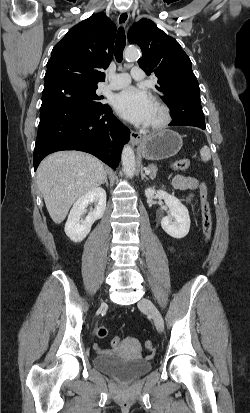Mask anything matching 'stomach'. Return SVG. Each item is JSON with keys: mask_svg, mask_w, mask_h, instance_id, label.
Instances as JSON below:
<instances>
[{"mask_svg": "<svg viewBox=\"0 0 250 413\" xmlns=\"http://www.w3.org/2000/svg\"><path fill=\"white\" fill-rule=\"evenodd\" d=\"M182 145V137L177 132L163 130L143 137L138 145V152L147 160L157 161L175 156Z\"/></svg>", "mask_w": 250, "mask_h": 413, "instance_id": "1", "label": "stomach"}]
</instances>
